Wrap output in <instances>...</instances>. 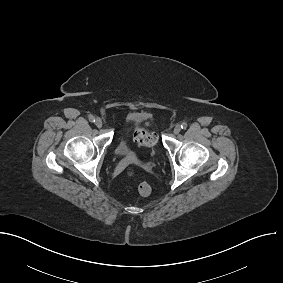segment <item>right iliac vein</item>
I'll use <instances>...</instances> for the list:
<instances>
[{
    "mask_svg": "<svg viewBox=\"0 0 283 283\" xmlns=\"http://www.w3.org/2000/svg\"><path fill=\"white\" fill-rule=\"evenodd\" d=\"M95 125L98 127V128H101L102 125H103V122L100 118H96L95 120Z\"/></svg>",
    "mask_w": 283,
    "mask_h": 283,
    "instance_id": "right-iliac-vein-1",
    "label": "right iliac vein"
}]
</instances>
